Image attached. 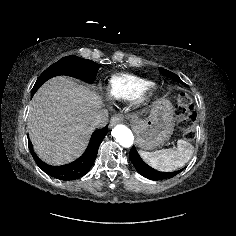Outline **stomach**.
Here are the masks:
<instances>
[{
  "mask_svg": "<svg viewBox=\"0 0 236 236\" xmlns=\"http://www.w3.org/2000/svg\"><path fill=\"white\" fill-rule=\"evenodd\" d=\"M132 124L137 146L150 150L167 141L173 134V106L168 99L161 98L153 103L147 118L133 116Z\"/></svg>",
  "mask_w": 236,
  "mask_h": 236,
  "instance_id": "0dacf381",
  "label": "stomach"
}]
</instances>
